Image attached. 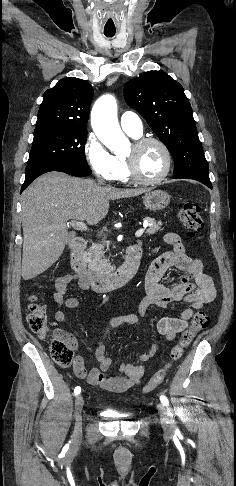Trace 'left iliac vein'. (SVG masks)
I'll return each mask as SVG.
<instances>
[{
  "instance_id": "left-iliac-vein-1",
  "label": "left iliac vein",
  "mask_w": 236,
  "mask_h": 486,
  "mask_svg": "<svg viewBox=\"0 0 236 486\" xmlns=\"http://www.w3.org/2000/svg\"><path fill=\"white\" fill-rule=\"evenodd\" d=\"M158 410L161 416V425L167 434H172L175 429V422L169 409L163 404H158Z\"/></svg>"
}]
</instances>
